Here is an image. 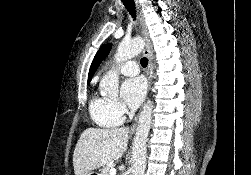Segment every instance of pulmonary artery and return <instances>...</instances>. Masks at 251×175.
I'll return each instance as SVG.
<instances>
[{"mask_svg": "<svg viewBox=\"0 0 251 175\" xmlns=\"http://www.w3.org/2000/svg\"><path fill=\"white\" fill-rule=\"evenodd\" d=\"M118 71L122 74L134 75L140 72L139 66L136 61H132L131 64H125L118 67Z\"/></svg>", "mask_w": 251, "mask_h": 175, "instance_id": "e3ab8cb5", "label": "pulmonary artery"}]
</instances>
